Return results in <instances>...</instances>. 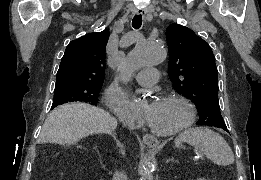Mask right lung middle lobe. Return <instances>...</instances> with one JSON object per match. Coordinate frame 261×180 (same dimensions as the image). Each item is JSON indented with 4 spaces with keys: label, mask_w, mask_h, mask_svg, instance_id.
<instances>
[{
    "label": "right lung middle lobe",
    "mask_w": 261,
    "mask_h": 180,
    "mask_svg": "<svg viewBox=\"0 0 261 180\" xmlns=\"http://www.w3.org/2000/svg\"><path fill=\"white\" fill-rule=\"evenodd\" d=\"M102 84L68 83L55 87L52 108L68 102L84 101L97 105Z\"/></svg>",
    "instance_id": "right-lung-middle-lobe-1"
}]
</instances>
